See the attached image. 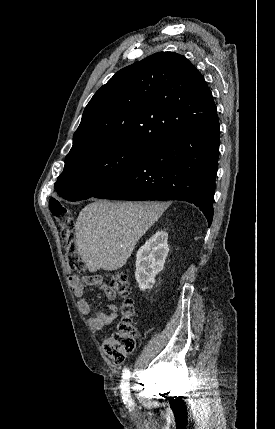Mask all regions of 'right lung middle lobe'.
<instances>
[{
	"mask_svg": "<svg viewBox=\"0 0 275 429\" xmlns=\"http://www.w3.org/2000/svg\"><path fill=\"white\" fill-rule=\"evenodd\" d=\"M149 148L134 144L111 145L65 163L55 183L69 201L90 198L138 167Z\"/></svg>",
	"mask_w": 275,
	"mask_h": 429,
	"instance_id": "dd1d6c3e",
	"label": "right lung middle lobe"
}]
</instances>
